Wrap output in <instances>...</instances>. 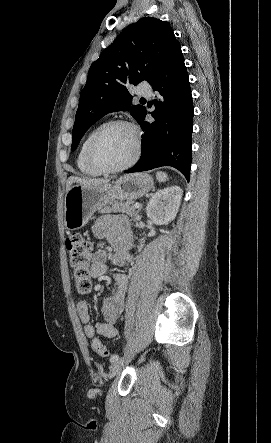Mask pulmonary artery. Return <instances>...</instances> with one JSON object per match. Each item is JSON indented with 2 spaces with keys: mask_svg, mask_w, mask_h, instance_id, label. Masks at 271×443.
Wrapping results in <instances>:
<instances>
[{
  "mask_svg": "<svg viewBox=\"0 0 271 443\" xmlns=\"http://www.w3.org/2000/svg\"><path fill=\"white\" fill-rule=\"evenodd\" d=\"M140 94L143 95V96H151L152 95V91H141Z\"/></svg>",
  "mask_w": 271,
  "mask_h": 443,
  "instance_id": "obj_1",
  "label": "pulmonary artery"
}]
</instances>
